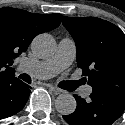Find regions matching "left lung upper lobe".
<instances>
[{
    "instance_id": "5c2ea615",
    "label": "left lung upper lobe",
    "mask_w": 125,
    "mask_h": 125,
    "mask_svg": "<svg viewBox=\"0 0 125 125\" xmlns=\"http://www.w3.org/2000/svg\"><path fill=\"white\" fill-rule=\"evenodd\" d=\"M76 44V60L93 92L125 95V34L96 17H63Z\"/></svg>"
}]
</instances>
